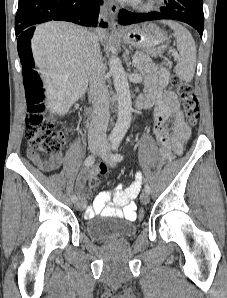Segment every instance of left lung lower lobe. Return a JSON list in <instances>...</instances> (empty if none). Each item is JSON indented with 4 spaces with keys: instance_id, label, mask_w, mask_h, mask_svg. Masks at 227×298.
<instances>
[{
    "instance_id": "1",
    "label": "left lung lower lobe",
    "mask_w": 227,
    "mask_h": 298,
    "mask_svg": "<svg viewBox=\"0 0 227 298\" xmlns=\"http://www.w3.org/2000/svg\"><path fill=\"white\" fill-rule=\"evenodd\" d=\"M166 6L159 12L132 13L125 9L120 10L118 22L121 25L157 20L173 19L193 26L202 38L204 27L203 0H164Z\"/></svg>"
}]
</instances>
